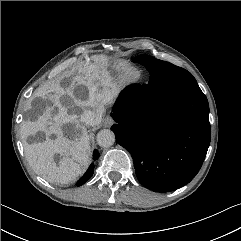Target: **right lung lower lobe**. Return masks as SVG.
Returning <instances> with one entry per match:
<instances>
[{
    "label": "right lung lower lobe",
    "instance_id": "right-lung-lower-lobe-1",
    "mask_svg": "<svg viewBox=\"0 0 241 241\" xmlns=\"http://www.w3.org/2000/svg\"><path fill=\"white\" fill-rule=\"evenodd\" d=\"M98 157H99L98 151L95 150L93 153V159L96 160V159H98ZM93 172H94V164L92 163L90 165V167L88 168V170L86 171V173L78 181L77 185L80 186L83 183H85L87 180H89L91 178V176L93 175Z\"/></svg>",
    "mask_w": 241,
    "mask_h": 241
}]
</instances>
